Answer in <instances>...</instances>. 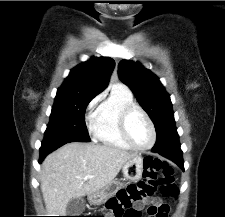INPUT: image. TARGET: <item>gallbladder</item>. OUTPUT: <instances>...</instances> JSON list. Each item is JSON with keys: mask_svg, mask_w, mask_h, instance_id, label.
Segmentation results:
<instances>
[{"mask_svg": "<svg viewBox=\"0 0 225 217\" xmlns=\"http://www.w3.org/2000/svg\"><path fill=\"white\" fill-rule=\"evenodd\" d=\"M85 209V200L83 198H72L66 207L67 216H78Z\"/></svg>", "mask_w": 225, "mask_h": 217, "instance_id": "gallbladder-1", "label": "gallbladder"}]
</instances>
